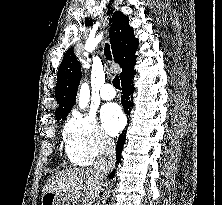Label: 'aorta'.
I'll return each instance as SVG.
<instances>
[{
    "label": "aorta",
    "instance_id": "obj_1",
    "mask_svg": "<svg viewBox=\"0 0 222 205\" xmlns=\"http://www.w3.org/2000/svg\"><path fill=\"white\" fill-rule=\"evenodd\" d=\"M89 98H90L89 85L87 83H83L80 86V92H79V107L81 109H84L88 105Z\"/></svg>",
    "mask_w": 222,
    "mask_h": 205
}]
</instances>
